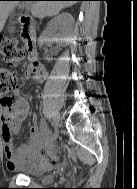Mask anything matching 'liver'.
Here are the masks:
<instances>
[{
    "label": "liver",
    "instance_id": "1",
    "mask_svg": "<svg viewBox=\"0 0 137 189\" xmlns=\"http://www.w3.org/2000/svg\"><path fill=\"white\" fill-rule=\"evenodd\" d=\"M75 3V1H28L25 5L31 9L34 16L44 18L55 16L63 8L70 7ZM16 5V1H0V32L3 30L8 15Z\"/></svg>",
    "mask_w": 137,
    "mask_h": 189
}]
</instances>
